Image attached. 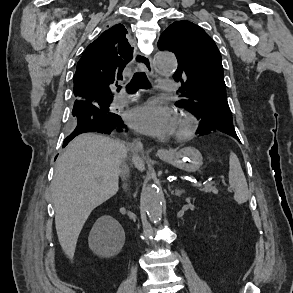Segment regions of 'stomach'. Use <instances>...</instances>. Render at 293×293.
<instances>
[{"mask_svg":"<svg viewBox=\"0 0 293 293\" xmlns=\"http://www.w3.org/2000/svg\"><path fill=\"white\" fill-rule=\"evenodd\" d=\"M162 159L174 167L189 173L198 171L203 163L200 151L191 146L184 147Z\"/></svg>","mask_w":293,"mask_h":293,"instance_id":"stomach-1","label":"stomach"}]
</instances>
